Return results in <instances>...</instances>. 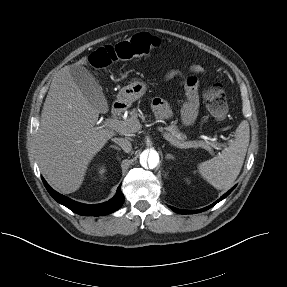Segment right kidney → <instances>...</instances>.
I'll use <instances>...</instances> for the list:
<instances>
[{
  "label": "right kidney",
  "instance_id": "right-kidney-1",
  "mask_svg": "<svg viewBox=\"0 0 287 287\" xmlns=\"http://www.w3.org/2000/svg\"><path fill=\"white\" fill-rule=\"evenodd\" d=\"M105 171L106 169L103 165L98 168V173L100 174V176H102L105 173Z\"/></svg>",
  "mask_w": 287,
  "mask_h": 287
}]
</instances>
